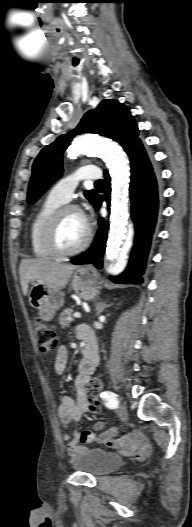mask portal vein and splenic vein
I'll list each match as a JSON object with an SVG mask.
<instances>
[{
  "label": "portal vein and splenic vein",
  "instance_id": "obj_1",
  "mask_svg": "<svg viewBox=\"0 0 192 527\" xmlns=\"http://www.w3.org/2000/svg\"><path fill=\"white\" fill-rule=\"evenodd\" d=\"M73 316H74L75 318H80V317H81V314L78 313V312H76V313L73 314Z\"/></svg>",
  "mask_w": 192,
  "mask_h": 527
}]
</instances>
